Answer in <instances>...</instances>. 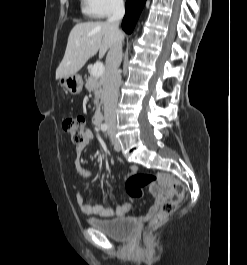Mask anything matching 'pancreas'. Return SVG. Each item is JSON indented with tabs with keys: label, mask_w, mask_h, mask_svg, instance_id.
I'll use <instances>...</instances> for the list:
<instances>
[{
	"label": "pancreas",
	"mask_w": 247,
	"mask_h": 265,
	"mask_svg": "<svg viewBox=\"0 0 247 265\" xmlns=\"http://www.w3.org/2000/svg\"><path fill=\"white\" fill-rule=\"evenodd\" d=\"M90 75L87 79V82L85 84L86 89L89 92H94L97 101H100L98 103L97 110L99 109L105 94V76H93L91 73V70L89 71Z\"/></svg>",
	"instance_id": "obj_1"
}]
</instances>
